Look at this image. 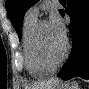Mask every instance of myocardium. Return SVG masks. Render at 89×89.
<instances>
[{"mask_svg": "<svg viewBox=\"0 0 89 89\" xmlns=\"http://www.w3.org/2000/svg\"><path fill=\"white\" fill-rule=\"evenodd\" d=\"M46 21H40L37 24L35 33H34V37H33V47H34V53L36 56V59L38 60V62L45 68L53 71L55 70L66 58L67 53H68V41L66 39L63 40V50L60 54V56L55 60V61H50L42 48V43H41V34H42V27L43 24Z\"/></svg>", "mask_w": 89, "mask_h": 89, "instance_id": "f54148a6", "label": "myocardium"}]
</instances>
